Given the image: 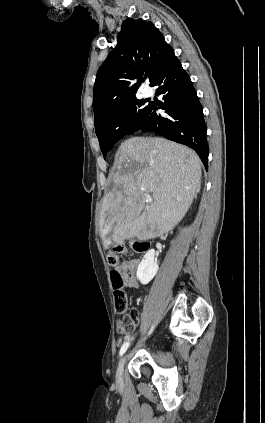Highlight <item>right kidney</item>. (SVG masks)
Listing matches in <instances>:
<instances>
[{
	"instance_id": "obj_1",
	"label": "right kidney",
	"mask_w": 265,
	"mask_h": 423,
	"mask_svg": "<svg viewBox=\"0 0 265 423\" xmlns=\"http://www.w3.org/2000/svg\"><path fill=\"white\" fill-rule=\"evenodd\" d=\"M157 271L158 265L155 263V250L150 249L139 264L136 275L141 284L147 285L157 274Z\"/></svg>"
}]
</instances>
